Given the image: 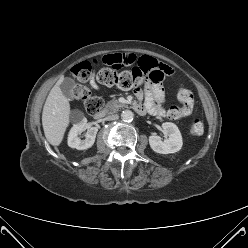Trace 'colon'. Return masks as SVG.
<instances>
[{
  "label": "colon",
  "instance_id": "5ec220e1",
  "mask_svg": "<svg viewBox=\"0 0 248 248\" xmlns=\"http://www.w3.org/2000/svg\"><path fill=\"white\" fill-rule=\"evenodd\" d=\"M72 73L73 77L80 82H86L96 75V79L101 84L106 86H117L125 90L139 88L148 81H151L154 84H160L164 78V76L157 78L155 70L146 74L137 68L130 71L118 72L111 67H102L97 71L96 65L90 62H84L77 65L74 67ZM72 97L75 100H81L87 112L91 115L96 114L102 109L103 100L99 96L93 94L91 90L84 85L75 86L72 90ZM177 97L181 106H173L169 109L168 115L172 119L180 118L190 112L194 106V94L186 86L181 85L178 87ZM188 130L192 135L202 134L204 130L202 120L198 117L189 119Z\"/></svg>",
  "mask_w": 248,
  "mask_h": 248
}]
</instances>
